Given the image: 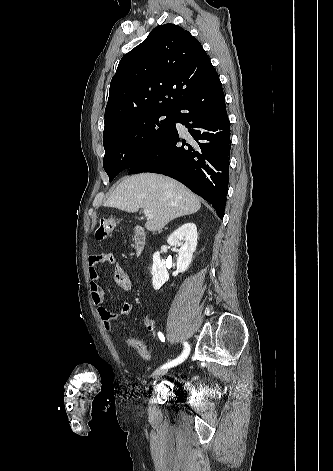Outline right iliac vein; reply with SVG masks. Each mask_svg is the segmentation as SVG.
<instances>
[{
  "instance_id": "63e3f726",
  "label": "right iliac vein",
  "mask_w": 333,
  "mask_h": 471,
  "mask_svg": "<svg viewBox=\"0 0 333 471\" xmlns=\"http://www.w3.org/2000/svg\"><path fill=\"white\" fill-rule=\"evenodd\" d=\"M168 371V368H159L153 373V378L158 379L165 375Z\"/></svg>"
}]
</instances>
